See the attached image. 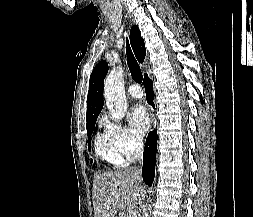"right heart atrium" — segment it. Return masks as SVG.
<instances>
[{
    "mask_svg": "<svg viewBox=\"0 0 253 217\" xmlns=\"http://www.w3.org/2000/svg\"><path fill=\"white\" fill-rule=\"evenodd\" d=\"M102 124L115 146L126 159L131 160L135 158L141 151L142 138L133 129L122 123L110 121L107 118L102 119Z\"/></svg>",
    "mask_w": 253,
    "mask_h": 217,
    "instance_id": "obj_1",
    "label": "right heart atrium"
}]
</instances>
